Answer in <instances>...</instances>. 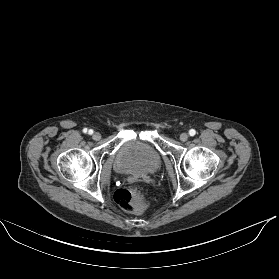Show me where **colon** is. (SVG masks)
Instances as JSON below:
<instances>
[{
    "label": "colon",
    "mask_w": 279,
    "mask_h": 279,
    "mask_svg": "<svg viewBox=\"0 0 279 279\" xmlns=\"http://www.w3.org/2000/svg\"><path fill=\"white\" fill-rule=\"evenodd\" d=\"M114 199L125 212H142L148 207L145 195L131 188L118 189L114 194Z\"/></svg>",
    "instance_id": "obj_1"
}]
</instances>
